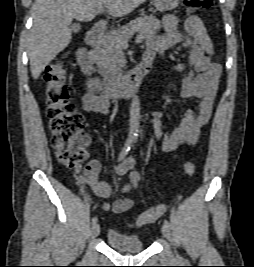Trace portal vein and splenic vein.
<instances>
[{
	"label": "portal vein and splenic vein",
	"instance_id": "portal-vein-and-splenic-vein-1",
	"mask_svg": "<svg viewBox=\"0 0 254 267\" xmlns=\"http://www.w3.org/2000/svg\"><path fill=\"white\" fill-rule=\"evenodd\" d=\"M102 12H103V7H99V8L96 9V13L97 14H101ZM143 39H144V37L139 35V36L136 37L135 42L136 43H142ZM122 45H123L124 48L128 47L127 42H123Z\"/></svg>",
	"mask_w": 254,
	"mask_h": 267
}]
</instances>
